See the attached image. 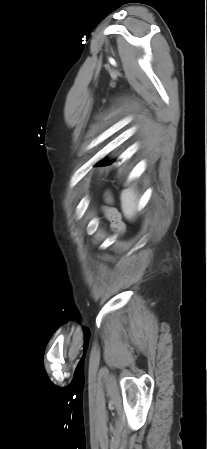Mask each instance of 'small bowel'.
<instances>
[{
    "label": "small bowel",
    "instance_id": "obj_1",
    "mask_svg": "<svg viewBox=\"0 0 207 449\" xmlns=\"http://www.w3.org/2000/svg\"><path fill=\"white\" fill-rule=\"evenodd\" d=\"M105 213L107 215V218L111 222L112 228L115 231H119V232L123 231L124 225H123V222H122L118 212L113 208H105Z\"/></svg>",
    "mask_w": 207,
    "mask_h": 449
}]
</instances>
